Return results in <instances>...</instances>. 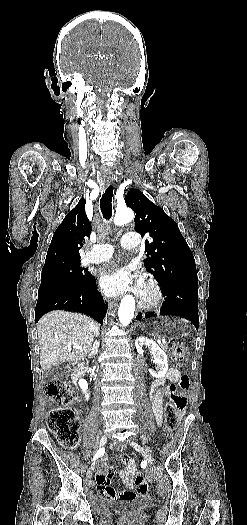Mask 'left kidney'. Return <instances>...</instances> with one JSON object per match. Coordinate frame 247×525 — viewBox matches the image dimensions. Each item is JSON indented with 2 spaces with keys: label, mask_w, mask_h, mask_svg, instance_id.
Segmentation results:
<instances>
[{
  "label": "left kidney",
  "mask_w": 247,
  "mask_h": 525,
  "mask_svg": "<svg viewBox=\"0 0 247 525\" xmlns=\"http://www.w3.org/2000/svg\"><path fill=\"white\" fill-rule=\"evenodd\" d=\"M135 347L139 355L144 353L143 347H147L155 359V365H157V367H155L156 371H151V375H153V377H165L168 371L167 355L156 345L155 341H151V339H147V337H137Z\"/></svg>",
  "instance_id": "obj_1"
}]
</instances>
